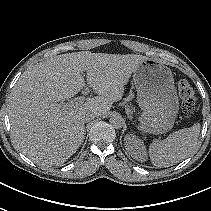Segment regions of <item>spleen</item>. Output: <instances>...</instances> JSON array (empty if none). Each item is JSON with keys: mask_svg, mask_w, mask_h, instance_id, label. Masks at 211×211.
I'll list each match as a JSON object with an SVG mask.
<instances>
[{"mask_svg": "<svg viewBox=\"0 0 211 211\" xmlns=\"http://www.w3.org/2000/svg\"><path fill=\"white\" fill-rule=\"evenodd\" d=\"M200 124L180 129L171 133L162 141H154L149 146L152 164L157 167H168L184 160L197 146Z\"/></svg>", "mask_w": 211, "mask_h": 211, "instance_id": "1", "label": "spleen"}]
</instances>
